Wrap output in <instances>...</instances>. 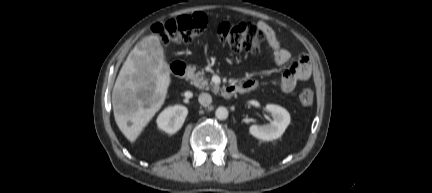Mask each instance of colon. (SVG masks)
I'll list each match as a JSON object with an SVG mask.
<instances>
[{"instance_id": "obj_1", "label": "colon", "mask_w": 432, "mask_h": 193, "mask_svg": "<svg viewBox=\"0 0 432 193\" xmlns=\"http://www.w3.org/2000/svg\"><path fill=\"white\" fill-rule=\"evenodd\" d=\"M207 27V17L200 12L181 15L166 21L156 23L152 31L167 44L191 43L199 37ZM217 37L234 53H257L260 50L264 34L251 23L231 24L223 22L218 26ZM303 106H310L314 93L310 88H304L299 94Z\"/></svg>"}]
</instances>
